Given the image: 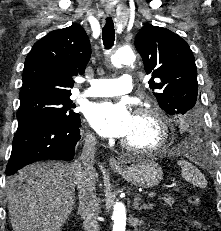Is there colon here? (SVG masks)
<instances>
[{"label":"colon","instance_id":"1","mask_svg":"<svg viewBox=\"0 0 221 231\" xmlns=\"http://www.w3.org/2000/svg\"><path fill=\"white\" fill-rule=\"evenodd\" d=\"M188 200L189 203L194 207H199L202 205V199L198 195H191Z\"/></svg>","mask_w":221,"mask_h":231}]
</instances>
